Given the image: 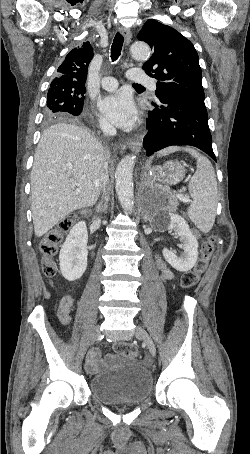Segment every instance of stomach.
I'll list each match as a JSON object with an SVG mask.
<instances>
[{
  "mask_svg": "<svg viewBox=\"0 0 250 454\" xmlns=\"http://www.w3.org/2000/svg\"><path fill=\"white\" fill-rule=\"evenodd\" d=\"M184 176V169L178 162H167L163 168L158 169L157 179L166 184L180 181Z\"/></svg>",
  "mask_w": 250,
  "mask_h": 454,
  "instance_id": "obj_1",
  "label": "stomach"
}]
</instances>
